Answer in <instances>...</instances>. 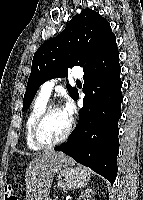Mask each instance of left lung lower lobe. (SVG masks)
<instances>
[{"mask_svg": "<svg viewBox=\"0 0 143 200\" xmlns=\"http://www.w3.org/2000/svg\"><path fill=\"white\" fill-rule=\"evenodd\" d=\"M83 70L85 97L77 127L68 141L55 150L63 151L113 184L117 175L118 121L123 100L116 38ZM73 99H78V92Z\"/></svg>", "mask_w": 143, "mask_h": 200, "instance_id": "left-lung-lower-lobe-1", "label": "left lung lower lobe"}]
</instances>
